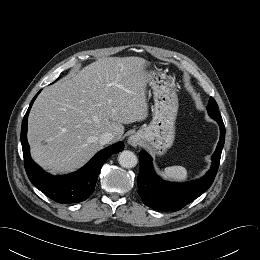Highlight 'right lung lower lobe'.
<instances>
[{"label":"right lung lower lobe","mask_w":260,"mask_h":260,"mask_svg":"<svg viewBox=\"0 0 260 260\" xmlns=\"http://www.w3.org/2000/svg\"><path fill=\"white\" fill-rule=\"evenodd\" d=\"M37 95L30 103L21 128V143L27 175L37 189L58 203L70 204L84 201L93 192L104 162L110 155L122 151L124 144L118 142L101 150L75 173L63 176H52L45 173L31 159L26 136L28 114Z\"/></svg>","instance_id":"98d812e1"}]
</instances>
